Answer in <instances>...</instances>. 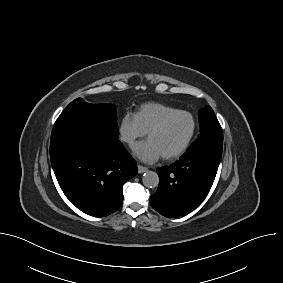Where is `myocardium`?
I'll return each mask as SVG.
<instances>
[{"mask_svg": "<svg viewBox=\"0 0 283 283\" xmlns=\"http://www.w3.org/2000/svg\"><path fill=\"white\" fill-rule=\"evenodd\" d=\"M180 115H184V116H187L190 118L191 120V131H190V134L189 136L187 137L186 141L182 144V146L177 149L176 151L170 153V154H165V155H162L164 159L166 160H172V159H175V158H178L180 157L181 155H183L185 153V151L188 149V147L190 146L194 136H195V133H196V128H197V125H196V120L195 118L193 117V115L187 111H184V110H177V111H174V112H171L167 115H165L161 120H159L149 131H148V138L160 131L172 118L176 117V116H180Z\"/></svg>", "mask_w": 283, "mask_h": 283, "instance_id": "myocardium-1", "label": "myocardium"}]
</instances>
